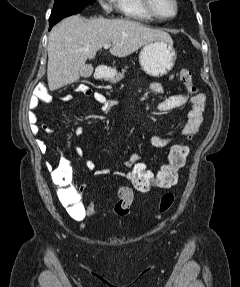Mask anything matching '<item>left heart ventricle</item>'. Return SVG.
Returning <instances> with one entry per match:
<instances>
[{
  "label": "left heart ventricle",
  "mask_w": 240,
  "mask_h": 287,
  "mask_svg": "<svg viewBox=\"0 0 240 287\" xmlns=\"http://www.w3.org/2000/svg\"><path fill=\"white\" fill-rule=\"evenodd\" d=\"M156 10L164 16H171L175 12L173 0H153Z\"/></svg>",
  "instance_id": "1"
}]
</instances>
